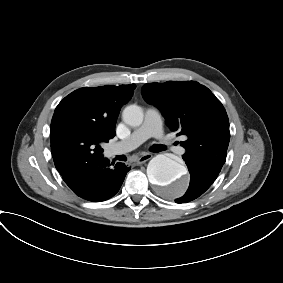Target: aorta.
Segmentation results:
<instances>
[{
    "instance_id": "aorta-1",
    "label": "aorta",
    "mask_w": 283,
    "mask_h": 283,
    "mask_svg": "<svg viewBox=\"0 0 283 283\" xmlns=\"http://www.w3.org/2000/svg\"><path fill=\"white\" fill-rule=\"evenodd\" d=\"M143 117V111L137 105L127 106L122 113L123 121L133 127L141 125ZM185 175L186 168L165 154L156 155L147 166L150 183L164 187L167 190L166 194L173 197H180L186 192L188 180Z\"/></svg>"
}]
</instances>
